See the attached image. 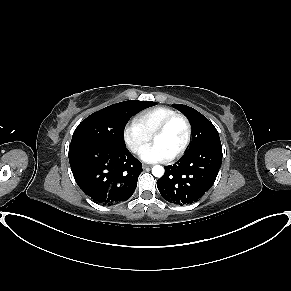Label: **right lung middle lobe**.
<instances>
[{
	"label": "right lung middle lobe",
	"instance_id": "right-lung-middle-lobe-1",
	"mask_svg": "<svg viewBox=\"0 0 291 291\" xmlns=\"http://www.w3.org/2000/svg\"><path fill=\"white\" fill-rule=\"evenodd\" d=\"M156 104L148 101H124L91 114L74 131L69 148L88 144L126 148L124 128L128 120L136 112Z\"/></svg>",
	"mask_w": 291,
	"mask_h": 291
}]
</instances>
